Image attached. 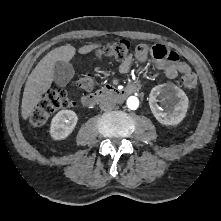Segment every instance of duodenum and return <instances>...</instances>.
Returning a JSON list of instances; mask_svg holds the SVG:
<instances>
[{"mask_svg":"<svg viewBox=\"0 0 221 221\" xmlns=\"http://www.w3.org/2000/svg\"><path fill=\"white\" fill-rule=\"evenodd\" d=\"M140 87L137 84H131L124 89H118L113 86H104L94 93L88 94L82 98V103L85 106H93L101 99L106 97H112L117 100H122L129 95L135 94L139 91Z\"/></svg>","mask_w":221,"mask_h":221,"instance_id":"410a0bca","label":"duodenum"}]
</instances>
